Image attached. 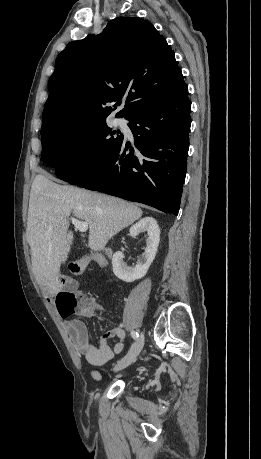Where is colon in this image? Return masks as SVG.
Listing matches in <instances>:
<instances>
[{"label":"colon","instance_id":"colon-1","mask_svg":"<svg viewBox=\"0 0 261 459\" xmlns=\"http://www.w3.org/2000/svg\"><path fill=\"white\" fill-rule=\"evenodd\" d=\"M89 260H92L91 255L86 258L73 259L69 262L68 269L72 274L80 275L84 272ZM59 311L63 317H69L74 313L86 316L96 315L101 312V309L92 295L76 292L67 294L61 299Z\"/></svg>","mask_w":261,"mask_h":459}]
</instances>
